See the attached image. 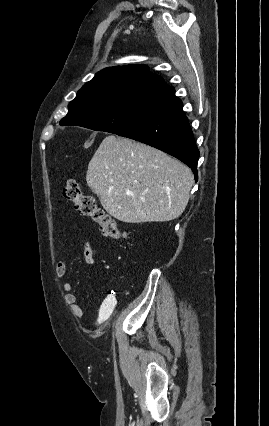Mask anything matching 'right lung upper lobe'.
<instances>
[{
    "label": "right lung upper lobe",
    "instance_id": "1",
    "mask_svg": "<svg viewBox=\"0 0 269 426\" xmlns=\"http://www.w3.org/2000/svg\"><path fill=\"white\" fill-rule=\"evenodd\" d=\"M167 88L168 85L161 77L152 74L146 65L137 64L101 70L78 91V94L129 90L163 93Z\"/></svg>",
    "mask_w": 269,
    "mask_h": 426
}]
</instances>
